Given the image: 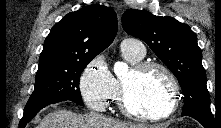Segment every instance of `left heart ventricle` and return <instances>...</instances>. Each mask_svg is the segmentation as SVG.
Returning <instances> with one entry per match:
<instances>
[{
    "label": "left heart ventricle",
    "instance_id": "obj_1",
    "mask_svg": "<svg viewBox=\"0 0 221 128\" xmlns=\"http://www.w3.org/2000/svg\"><path fill=\"white\" fill-rule=\"evenodd\" d=\"M124 82L128 91V104L134 111L152 114L166 110L170 88L160 70L152 69L143 74L131 71Z\"/></svg>",
    "mask_w": 221,
    "mask_h": 128
}]
</instances>
